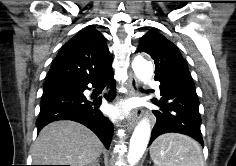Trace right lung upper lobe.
<instances>
[{
	"label": "right lung upper lobe",
	"instance_id": "right-lung-upper-lobe-1",
	"mask_svg": "<svg viewBox=\"0 0 236 166\" xmlns=\"http://www.w3.org/2000/svg\"><path fill=\"white\" fill-rule=\"evenodd\" d=\"M105 40L93 25L79 31L60 48L46 81L59 78L90 79L111 69L112 57Z\"/></svg>",
	"mask_w": 236,
	"mask_h": 166
}]
</instances>
